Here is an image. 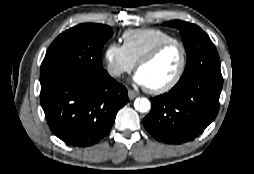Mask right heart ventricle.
Listing matches in <instances>:
<instances>
[{
    "label": "right heart ventricle",
    "instance_id": "1",
    "mask_svg": "<svg viewBox=\"0 0 254 174\" xmlns=\"http://www.w3.org/2000/svg\"><path fill=\"white\" fill-rule=\"evenodd\" d=\"M122 39L127 54L136 64L155 46L175 39V37L159 28H140L125 31Z\"/></svg>",
    "mask_w": 254,
    "mask_h": 174
}]
</instances>
